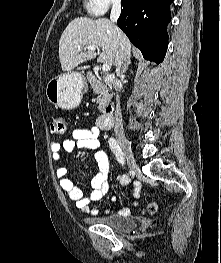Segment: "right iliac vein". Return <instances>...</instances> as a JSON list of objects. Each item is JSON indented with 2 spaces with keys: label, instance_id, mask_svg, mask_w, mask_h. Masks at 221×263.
Masks as SVG:
<instances>
[{
  "label": "right iliac vein",
  "instance_id": "obj_1",
  "mask_svg": "<svg viewBox=\"0 0 221 263\" xmlns=\"http://www.w3.org/2000/svg\"><path fill=\"white\" fill-rule=\"evenodd\" d=\"M117 142L124 153L130 169L135 171L137 169V165L127 138L123 135H119L117 137Z\"/></svg>",
  "mask_w": 221,
  "mask_h": 263
}]
</instances>
